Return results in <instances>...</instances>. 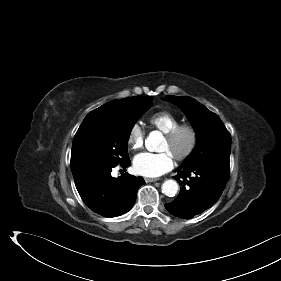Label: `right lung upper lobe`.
Segmentation results:
<instances>
[{
  "label": "right lung upper lobe",
  "mask_w": 281,
  "mask_h": 281,
  "mask_svg": "<svg viewBox=\"0 0 281 281\" xmlns=\"http://www.w3.org/2000/svg\"><path fill=\"white\" fill-rule=\"evenodd\" d=\"M136 97H130V98H124V99H117V100H113L110 101L104 105H102L101 107L91 111L92 113H108V112H113L116 111L118 109H120L121 107L125 106L126 104L131 103L132 101H134Z\"/></svg>",
  "instance_id": "right-lung-upper-lobe-1"
}]
</instances>
